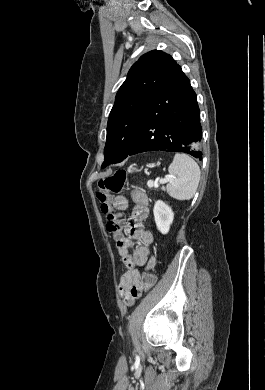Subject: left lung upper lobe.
Segmentation results:
<instances>
[{"label":"left lung upper lobe","instance_id":"1","mask_svg":"<svg viewBox=\"0 0 265 390\" xmlns=\"http://www.w3.org/2000/svg\"><path fill=\"white\" fill-rule=\"evenodd\" d=\"M176 65L170 55L153 50L130 68L109 115L102 168L127 157L148 105Z\"/></svg>","mask_w":265,"mask_h":390}]
</instances>
